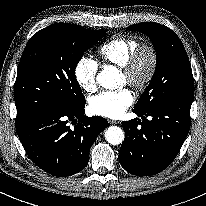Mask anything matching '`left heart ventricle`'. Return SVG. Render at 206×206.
<instances>
[{"instance_id":"obj_1","label":"left heart ventricle","mask_w":206,"mask_h":206,"mask_svg":"<svg viewBox=\"0 0 206 206\" xmlns=\"http://www.w3.org/2000/svg\"><path fill=\"white\" fill-rule=\"evenodd\" d=\"M148 57L147 55H143L142 59H141V62H140V65H139V73L140 74H143L146 72L147 68H148ZM122 80H123V83H126V79L124 76H122Z\"/></svg>"}]
</instances>
